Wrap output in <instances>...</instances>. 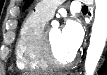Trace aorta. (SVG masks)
<instances>
[{
    "label": "aorta",
    "instance_id": "1",
    "mask_svg": "<svg viewBox=\"0 0 107 75\" xmlns=\"http://www.w3.org/2000/svg\"><path fill=\"white\" fill-rule=\"evenodd\" d=\"M107 41V0H95V18L85 60V75H93Z\"/></svg>",
    "mask_w": 107,
    "mask_h": 75
}]
</instances>
